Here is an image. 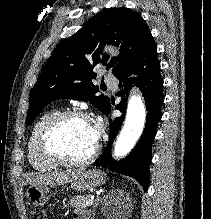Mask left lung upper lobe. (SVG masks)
<instances>
[{"label":"left lung upper lobe","instance_id":"5c2ea615","mask_svg":"<svg viewBox=\"0 0 211 219\" xmlns=\"http://www.w3.org/2000/svg\"><path fill=\"white\" fill-rule=\"evenodd\" d=\"M151 35L141 15L129 8H110L93 18L74 35L61 42L43 68L30 95L26 124L33 122L51 101L62 98L90 101L104 114L110 99L96 95L92 69L103 65L116 76L139 52ZM120 46L121 56L110 59L105 44Z\"/></svg>","mask_w":211,"mask_h":219}]
</instances>
